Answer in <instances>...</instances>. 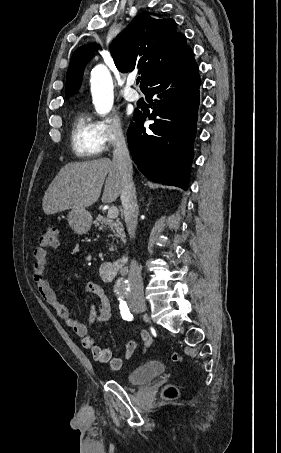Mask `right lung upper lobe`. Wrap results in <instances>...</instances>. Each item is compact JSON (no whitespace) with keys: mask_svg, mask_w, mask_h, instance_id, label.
I'll return each mask as SVG.
<instances>
[{"mask_svg":"<svg viewBox=\"0 0 281 453\" xmlns=\"http://www.w3.org/2000/svg\"><path fill=\"white\" fill-rule=\"evenodd\" d=\"M94 48L87 45L73 53L66 78V97L79 87L84 64L92 58ZM190 51L185 35L177 32L174 20L159 19L147 12L137 15L111 45L114 62L121 72L139 70L141 90Z\"/></svg>","mask_w":281,"mask_h":453,"instance_id":"cb5924a9","label":"right lung upper lobe"}]
</instances>
